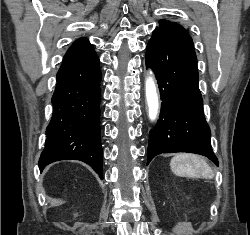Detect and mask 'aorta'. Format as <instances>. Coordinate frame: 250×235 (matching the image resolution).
<instances>
[{
	"label": "aorta",
	"mask_w": 250,
	"mask_h": 235,
	"mask_svg": "<svg viewBox=\"0 0 250 235\" xmlns=\"http://www.w3.org/2000/svg\"><path fill=\"white\" fill-rule=\"evenodd\" d=\"M146 99L149 108V118L155 120L158 114L159 102L156 92V85L152 76L146 79Z\"/></svg>",
	"instance_id": "aorta-1"
}]
</instances>
